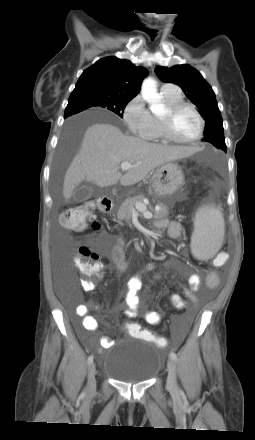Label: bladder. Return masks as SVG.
<instances>
[{
  "mask_svg": "<svg viewBox=\"0 0 255 440\" xmlns=\"http://www.w3.org/2000/svg\"><path fill=\"white\" fill-rule=\"evenodd\" d=\"M129 341L115 345L117 353L110 355L103 371L112 379L124 383H142L151 380L160 369V347L141 340L134 346Z\"/></svg>",
  "mask_w": 255,
  "mask_h": 440,
  "instance_id": "1",
  "label": "bladder"
}]
</instances>
